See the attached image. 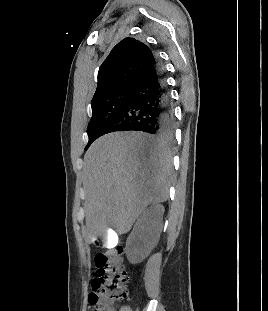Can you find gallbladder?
Here are the masks:
<instances>
[{
    "label": "gallbladder",
    "instance_id": "bac80fb5",
    "mask_svg": "<svg viewBox=\"0 0 268 311\" xmlns=\"http://www.w3.org/2000/svg\"><path fill=\"white\" fill-rule=\"evenodd\" d=\"M102 238L103 246H105L106 249H113L118 240L114 227H105Z\"/></svg>",
    "mask_w": 268,
    "mask_h": 311
}]
</instances>
